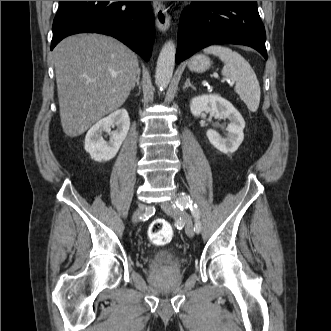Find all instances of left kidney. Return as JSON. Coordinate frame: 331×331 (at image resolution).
<instances>
[{
  "instance_id": "5707ae66",
  "label": "left kidney",
  "mask_w": 331,
  "mask_h": 331,
  "mask_svg": "<svg viewBox=\"0 0 331 331\" xmlns=\"http://www.w3.org/2000/svg\"><path fill=\"white\" fill-rule=\"evenodd\" d=\"M190 110L195 117L206 112L228 119L230 123L226 128L228 131L226 137L220 136L214 129H209L206 135L210 143L222 153H233L238 149L244 139L245 121L228 100L217 94L198 96L191 100Z\"/></svg>"
}]
</instances>
